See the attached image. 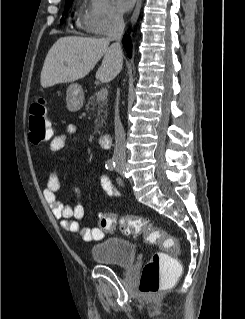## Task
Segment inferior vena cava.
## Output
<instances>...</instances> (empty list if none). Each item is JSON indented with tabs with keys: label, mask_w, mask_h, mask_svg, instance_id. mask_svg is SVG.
I'll list each match as a JSON object with an SVG mask.
<instances>
[{
	"label": "inferior vena cava",
	"mask_w": 245,
	"mask_h": 319,
	"mask_svg": "<svg viewBox=\"0 0 245 319\" xmlns=\"http://www.w3.org/2000/svg\"><path fill=\"white\" fill-rule=\"evenodd\" d=\"M124 20L123 16L119 13H113L111 17L110 31L108 33L107 40L114 41L112 43L111 50L114 51L116 56L119 59L123 58V53L121 49V38L124 31ZM114 127H115V147L113 158L116 162H125L126 161V143H125V132L123 125L119 116L118 104L115 108V118H114Z\"/></svg>",
	"instance_id": "602c4592"
}]
</instances>
